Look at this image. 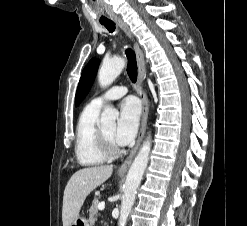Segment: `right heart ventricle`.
Returning a JSON list of instances; mask_svg holds the SVG:
<instances>
[{"label":"right heart ventricle","mask_w":247,"mask_h":226,"mask_svg":"<svg viewBox=\"0 0 247 226\" xmlns=\"http://www.w3.org/2000/svg\"><path fill=\"white\" fill-rule=\"evenodd\" d=\"M100 109L87 105L80 114L75 141V154L82 166H94L105 161L96 144L97 120Z\"/></svg>","instance_id":"right-heart-ventricle-1"}]
</instances>
